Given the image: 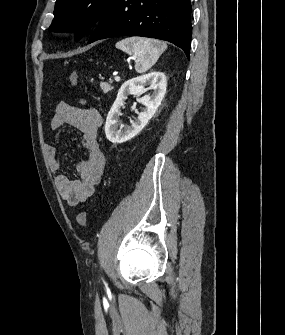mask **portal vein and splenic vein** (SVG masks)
I'll use <instances>...</instances> for the list:
<instances>
[{
	"instance_id": "obj_1",
	"label": "portal vein and splenic vein",
	"mask_w": 285,
	"mask_h": 335,
	"mask_svg": "<svg viewBox=\"0 0 285 335\" xmlns=\"http://www.w3.org/2000/svg\"><path fill=\"white\" fill-rule=\"evenodd\" d=\"M114 80H116V82H120L119 76H115Z\"/></svg>"
}]
</instances>
